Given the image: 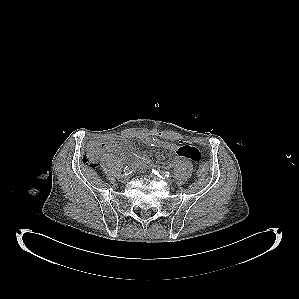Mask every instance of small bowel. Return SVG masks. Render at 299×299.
I'll use <instances>...</instances> for the list:
<instances>
[{"label":"small bowel","mask_w":299,"mask_h":299,"mask_svg":"<svg viewBox=\"0 0 299 299\" xmlns=\"http://www.w3.org/2000/svg\"><path fill=\"white\" fill-rule=\"evenodd\" d=\"M143 141L151 146L157 148L166 149L174 153L179 158L190 159L194 162H200L202 155L201 152L194 146L191 145H177L168 141L159 140L151 137H144ZM104 150L106 152L119 151L123 157H130L134 160V164L138 167H144L149 163L148 158L145 155L138 154L137 152L129 148H120L115 140H107L104 142Z\"/></svg>","instance_id":"c3829d8e"}]
</instances>
